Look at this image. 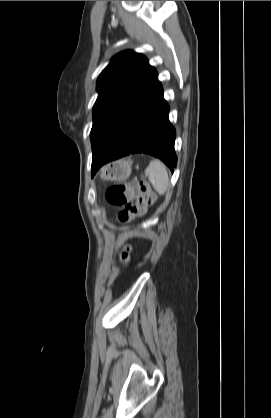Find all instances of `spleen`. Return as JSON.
<instances>
[{"mask_svg": "<svg viewBox=\"0 0 271 418\" xmlns=\"http://www.w3.org/2000/svg\"><path fill=\"white\" fill-rule=\"evenodd\" d=\"M149 181L154 189L160 194L164 195L169 187V177L166 166L159 160H152L145 170Z\"/></svg>", "mask_w": 271, "mask_h": 418, "instance_id": "spleen-1", "label": "spleen"}]
</instances>
